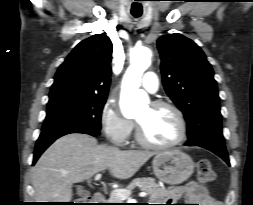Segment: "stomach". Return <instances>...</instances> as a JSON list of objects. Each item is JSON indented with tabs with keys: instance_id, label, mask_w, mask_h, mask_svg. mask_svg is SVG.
I'll list each match as a JSON object with an SVG mask.
<instances>
[{
	"instance_id": "1",
	"label": "stomach",
	"mask_w": 253,
	"mask_h": 205,
	"mask_svg": "<svg viewBox=\"0 0 253 205\" xmlns=\"http://www.w3.org/2000/svg\"><path fill=\"white\" fill-rule=\"evenodd\" d=\"M152 164L156 177L170 185L181 184L194 171V163L191 157L178 149L156 154Z\"/></svg>"
}]
</instances>
